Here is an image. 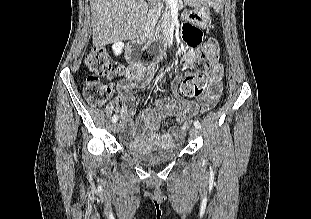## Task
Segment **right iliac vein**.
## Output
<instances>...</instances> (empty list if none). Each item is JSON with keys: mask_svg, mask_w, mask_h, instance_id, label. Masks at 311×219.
Segmentation results:
<instances>
[{"mask_svg": "<svg viewBox=\"0 0 311 219\" xmlns=\"http://www.w3.org/2000/svg\"><path fill=\"white\" fill-rule=\"evenodd\" d=\"M119 130H120V126H119L118 123L115 122V123L112 125V131H113L115 134H117V133L119 132Z\"/></svg>", "mask_w": 311, "mask_h": 219, "instance_id": "right-iliac-vein-1", "label": "right iliac vein"}]
</instances>
